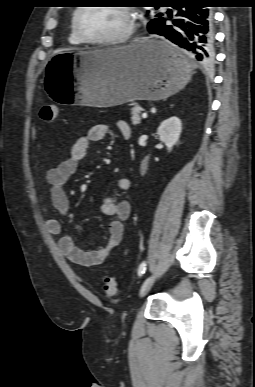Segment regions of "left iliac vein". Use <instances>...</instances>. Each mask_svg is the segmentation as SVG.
<instances>
[{
	"mask_svg": "<svg viewBox=\"0 0 255 387\" xmlns=\"http://www.w3.org/2000/svg\"><path fill=\"white\" fill-rule=\"evenodd\" d=\"M154 280H155V275H152L143 282L139 291L140 297L145 296L149 292V290L151 289L154 283Z\"/></svg>",
	"mask_w": 255,
	"mask_h": 387,
	"instance_id": "obj_1",
	"label": "left iliac vein"
}]
</instances>
